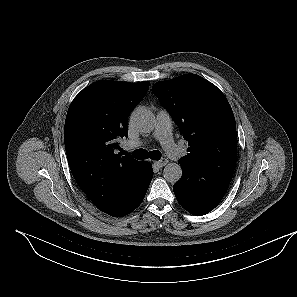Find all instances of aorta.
<instances>
[{
  "instance_id": "obj_1",
  "label": "aorta",
  "mask_w": 297,
  "mask_h": 297,
  "mask_svg": "<svg viewBox=\"0 0 297 297\" xmlns=\"http://www.w3.org/2000/svg\"><path fill=\"white\" fill-rule=\"evenodd\" d=\"M130 121L141 132H150L154 126L153 114L146 108H137L131 113ZM167 182L176 183L182 177V168L178 163H169L163 170Z\"/></svg>"
}]
</instances>
